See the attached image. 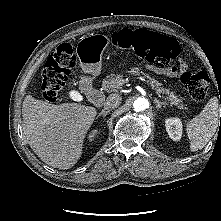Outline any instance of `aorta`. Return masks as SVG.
Segmentation results:
<instances>
[{
	"instance_id": "1",
	"label": "aorta",
	"mask_w": 221,
	"mask_h": 221,
	"mask_svg": "<svg viewBox=\"0 0 221 221\" xmlns=\"http://www.w3.org/2000/svg\"><path fill=\"white\" fill-rule=\"evenodd\" d=\"M136 112L144 111L149 107V102L145 98H137L133 103Z\"/></svg>"
}]
</instances>
